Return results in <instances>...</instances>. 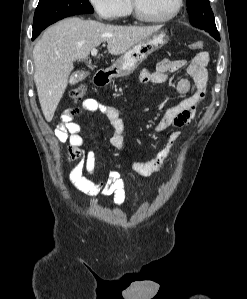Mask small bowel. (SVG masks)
<instances>
[{
  "instance_id": "c3829d8e",
  "label": "small bowel",
  "mask_w": 247,
  "mask_h": 299,
  "mask_svg": "<svg viewBox=\"0 0 247 299\" xmlns=\"http://www.w3.org/2000/svg\"><path fill=\"white\" fill-rule=\"evenodd\" d=\"M209 61L207 52H200L187 65L185 60L163 59L154 71L144 69L141 72L140 80L145 84H162L167 81L170 73L176 72L186 67L187 75L192 78L193 84L188 78H182L177 83V91L187 94L194 88L193 93L182 100L178 105L166 110L162 118L155 126L157 133L169 127L181 128L188 125L195 115L199 103L206 94L207 71L206 66ZM83 111L100 112L110 121L112 133L109 138L110 144L121 151L129 164L130 169L137 175L148 177L156 171L165 167L168 157L171 155L175 143L179 138V133L174 131L170 134L167 144L159 150L156 156L147 161L131 160L125 151L124 144V122L120 118L118 110L104 104L96 99L87 98L80 107L66 108L56 125L54 134L61 143L68 142L66 160H77V163L70 172V180L75 187L89 196L99 194L112 195L114 204L122 205L126 200V190L123 180L116 171L109 172L106 179L93 180L85 175L94 177L96 174L95 156L93 152L83 148L84 140L81 135V127L75 118Z\"/></svg>"
}]
</instances>
